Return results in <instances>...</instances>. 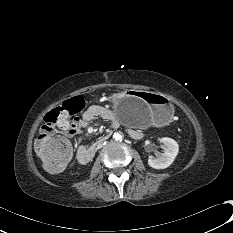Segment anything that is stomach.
I'll return each instance as SVG.
<instances>
[{"instance_id": "stomach-1", "label": "stomach", "mask_w": 233, "mask_h": 233, "mask_svg": "<svg viewBox=\"0 0 233 233\" xmlns=\"http://www.w3.org/2000/svg\"><path fill=\"white\" fill-rule=\"evenodd\" d=\"M113 113L123 124L141 127L153 123H167L174 115L171 102L154 92L135 91L112 96Z\"/></svg>"}]
</instances>
